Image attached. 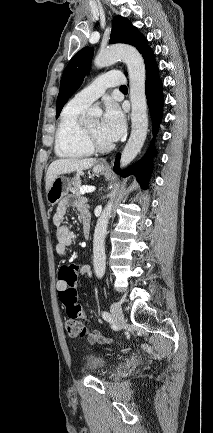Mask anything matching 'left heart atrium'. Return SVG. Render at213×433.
Returning <instances> with one entry per match:
<instances>
[{
    "instance_id": "left-heart-atrium-1",
    "label": "left heart atrium",
    "mask_w": 213,
    "mask_h": 433,
    "mask_svg": "<svg viewBox=\"0 0 213 433\" xmlns=\"http://www.w3.org/2000/svg\"><path fill=\"white\" fill-rule=\"evenodd\" d=\"M101 131L110 141L118 140L125 131V119L119 106L113 101H107L100 122Z\"/></svg>"
}]
</instances>
